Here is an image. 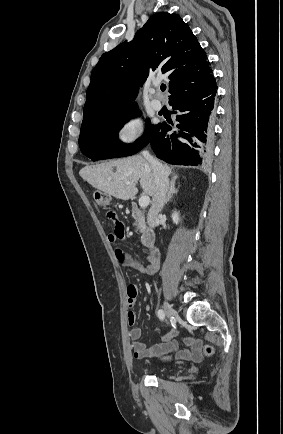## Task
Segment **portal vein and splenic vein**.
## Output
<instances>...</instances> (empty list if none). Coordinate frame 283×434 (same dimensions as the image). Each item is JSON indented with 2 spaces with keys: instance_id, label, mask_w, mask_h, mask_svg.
<instances>
[{
  "instance_id": "obj_1",
  "label": "portal vein and splenic vein",
  "mask_w": 283,
  "mask_h": 434,
  "mask_svg": "<svg viewBox=\"0 0 283 434\" xmlns=\"http://www.w3.org/2000/svg\"><path fill=\"white\" fill-rule=\"evenodd\" d=\"M149 203H150V197L149 196L144 195L139 199V206L142 208L147 207L149 205Z\"/></svg>"
}]
</instances>
